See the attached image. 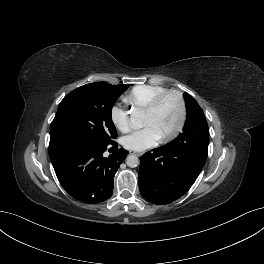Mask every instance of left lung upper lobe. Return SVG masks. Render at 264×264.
Returning <instances> with one entry per match:
<instances>
[{"label":"left lung upper lobe","mask_w":264,"mask_h":264,"mask_svg":"<svg viewBox=\"0 0 264 264\" xmlns=\"http://www.w3.org/2000/svg\"><path fill=\"white\" fill-rule=\"evenodd\" d=\"M186 104V122L181 133L176 139L170 143H177L182 141V137L196 133L198 130L208 127L203 110L198 103L188 93H184Z\"/></svg>","instance_id":"5c2ea615"}]
</instances>
